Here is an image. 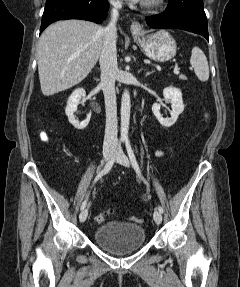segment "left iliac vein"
Masks as SVG:
<instances>
[{
  "mask_svg": "<svg viewBox=\"0 0 240 287\" xmlns=\"http://www.w3.org/2000/svg\"><path fill=\"white\" fill-rule=\"evenodd\" d=\"M115 160L117 163L129 167L130 161L128 157L123 153L121 149H119V153L116 155ZM153 218L157 224H160L162 222V214L158 210L154 211Z\"/></svg>",
  "mask_w": 240,
  "mask_h": 287,
  "instance_id": "1",
  "label": "left iliac vein"
}]
</instances>
